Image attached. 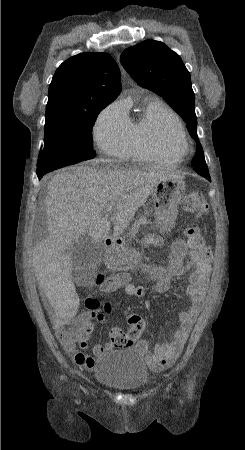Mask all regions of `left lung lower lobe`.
I'll list each match as a JSON object with an SVG mask.
<instances>
[{
    "mask_svg": "<svg viewBox=\"0 0 245 450\" xmlns=\"http://www.w3.org/2000/svg\"><path fill=\"white\" fill-rule=\"evenodd\" d=\"M202 152H203L202 150H198V153H202ZM200 175L203 176V177H205V178L208 179L209 181H211L209 173H202V174H200Z\"/></svg>",
    "mask_w": 245,
    "mask_h": 450,
    "instance_id": "left-lung-lower-lobe-1",
    "label": "left lung lower lobe"
}]
</instances>
